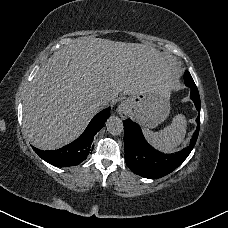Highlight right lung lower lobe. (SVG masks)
I'll return each instance as SVG.
<instances>
[{
    "instance_id": "obj_1",
    "label": "right lung lower lobe",
    "mask_w": 228,
    "mask_h": 228,
    "mask_svg": "<svg viewBox=\"0 0 228 228\" xmlns=\"http://www.w3.org/2000/svg\"><path fill=\"white\" fill-rule=\"evenodd\" d=\"M110 117V107L99 112L91 120L83 134L69 145L54 151H43L32 147L46 162L56 167H68L81 163L93 149L94 135L104 126Z\"/></svg>"
}]
</instances>
